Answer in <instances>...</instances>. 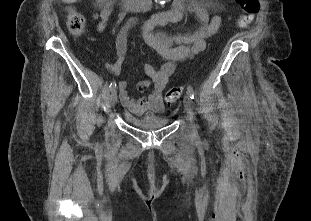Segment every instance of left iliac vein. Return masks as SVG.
Here are the masks:
<instances>
[{
  "label": "left iliac vein",
  "mask_w": 311,
  "mask_h": 221,
  "mask_svg": "<svg viewBox=\"0 0 311 221\" xmlns=\"http://www.w3.org/2000/svg\"><path fill=\"white\" fill-rule=\"evenodd\" d=\"M183 103H184V107L186 109L188 118L192 124L193 127H195V123H194V113H193V108H192V101L190 96L185 95L184 99H183Z\"/></svg>",
  "instance_id": "obj_1"
}]
</instances>
